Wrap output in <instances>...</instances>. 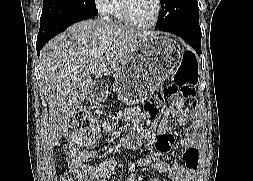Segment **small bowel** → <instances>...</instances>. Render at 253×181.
Here are the masks:
<instances>
[{
	"mask_svg": "<svg viewBox=\"0 0 253 181\" xmlns=\"http://www.w3.org/2000/svg\"><path fill=\"white\" fill-rule=\"evenodd\" d=\"M184 101L185 98L182 96L174 98L172 107L164 110L157 132L145 128V115L138 109H128L124 112L125 120L134 121L131 134L125 136L118 131L116 123L111 119L103 122L102 131L105 135L115 134L119 143L130 148H136L142 138H145L148 144L156 142L160 153L167 156L171 153L174 144L170 121L174 120L179 127L190 124L187 136L180 142L184 148V163H170L166 159L152 158L145 164L157 173L166 175L172 181H192L199 163L198 131L200 124L197 120L195 106L185 107ZM67 153L69 154L68 164L73 173L82 175L85 181H109L116 174L118 163L115 160H108L98 165L86 163L97 158L98 154L95 151L73 147L67 150ZM139 166L138 162L129 164L126 181H136V170Z\"/></svg>",
	"mask_w": 253,
	"mask_h": 181,
	"instance_id": "c3829d8e",
	"label": "small bowel"
}]
</instances>
